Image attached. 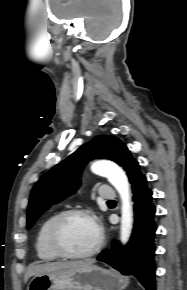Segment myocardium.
<instances>
[{
	"instance_id": "f54148a6",
	"label": "myocardium",
	"mask_w": 187,
	"mask_h": 290,
	"mask_svg": "<svg viewBox=\"0 0 187 290\" xmlns=\"http://www.w3.org/2000/svg\"><path fill=\"white\" fill-rule=\"evenodd\" d=\"M75 216H83V217L89 218L90 220L93 221V223L95 224L98 230V240L96 244L90 250L86 252H82V253H76V252H71L67 250L63 246L62 241H61V229L64 223L68 219ZM48 240H49L50 248L57 256L61 258H66V259H86V258H90L94 256L95 254L99 252V250L101 249L103 245L104 234L101 227L99 226L97 222L95 215L90 210L77 208V209L66 210L60 213L55 218V220L53 221L49 229Z\"/></svg>"
}]
</instances>
